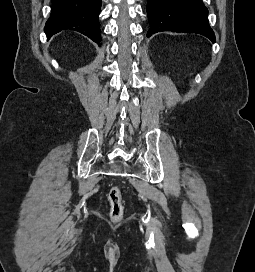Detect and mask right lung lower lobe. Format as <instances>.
Returning a JSON list of instances; mask_svg holds the SVG:
<instances>
[{
  "label": "right lung lower lobe",
  "mask_w": 255,
  "mask_h": 272,
  "mask_svg": "<svg viewBox=\"0 0 255 272\" xmlns=\"http://www.w3.org/2000/svg\"><path fill=\"white\" fill-rule=\"evenodd\" d=\"M51 1V15L44 28L47 38L62 30H74L100 43L98 13L101 0Z\"/></svg>",
  "instance_id": "right-lung-lower-lobe-1"
}]
</instances>
